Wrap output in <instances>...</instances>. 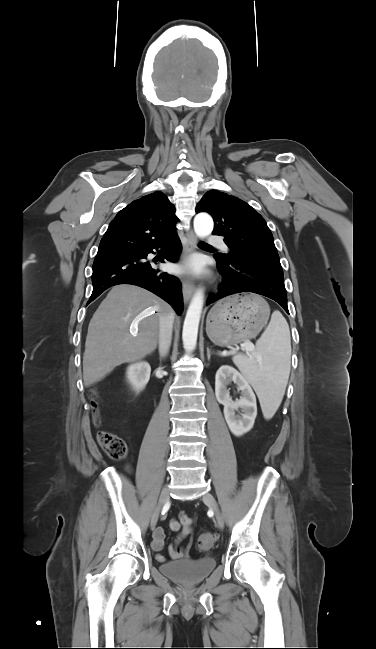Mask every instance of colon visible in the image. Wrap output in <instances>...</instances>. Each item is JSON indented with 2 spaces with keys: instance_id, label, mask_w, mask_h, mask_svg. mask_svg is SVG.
Returning a JSON list of instances; mask_svg holds the SVG:
<instances>
[{
  "instance_id": "obj_1",
  "label": "colon",
  "mask_w": 376,
  "mask_h": 649,
  "mask_svg": "<svg viewBox=\"0 0 376 649\" xmlns=\"http://www.w3.org/2000/svg\"><path fill=\"white\" fill-rule=\"evenodd\" d=\"M89 396L92 401L96 398L95 390H91ZM96 406L95 402H92ZM95 423H100V418L96 411ZM97 441L104 452L113 460H123L128 453L126 442L119 436L101 431L97 434ZM215 542V536L212 533H203L198 538V548L202 551L209 550Z\"/></svg>"
}]
</instances>
